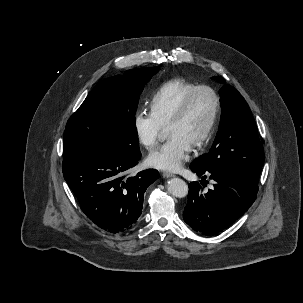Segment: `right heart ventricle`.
<instances>
[{
    "label": "right heart ventricle",
    "instance_id": "obj_1",
    "mask_svg": "<svg viewBox=\"0 0 303 303\" xmlns=\"http://www.w3.org/2000/svg\"><path fill=\"white\" fill-rule=\"evenodd\" d=\"M196 86V84L182 78L164 82L151 97V113L163 126L167 125L184 96Z\"/></svg>",
    "mask_w": 303,
    "mask_h": 303
}]
</instances>
